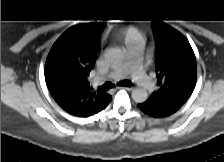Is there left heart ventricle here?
I'll return each instance as SVG.
<instances>
[{"mask_svg": "<svg viewBox=\"0 0 224 162\" xmlns=\"http://www.w3.org/2000/svg\"><path fill=\"white\" fill-rule=\"evenodd\" d=\"M125 63V60L123 61V63L121 65H123Z\"/></svg>", "mask_w": 224, "mask_h": 162, "instance_id": "left-heart-ventricle-1", "label": "left heart ventricle"}]
</instances>
